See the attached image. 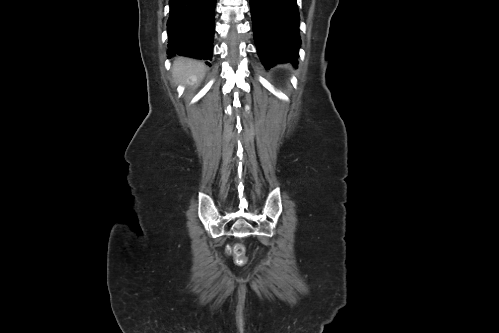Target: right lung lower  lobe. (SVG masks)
<instances>
[{
	"label": "right lung lower lobe",
	"instance_id": "obj_1",
	"mask_svg": "<svg viewBox=\"0 0 499 333\" xmlns=\"http://www.w3.org/2000/svg\"><path fill=\"white\" fill-rule=\"evenodd\" d=\"M169 4L168 57L211 60L216 0H170Z\"/></svg>",
	"mask_w": 499,
	"mask_h": 333
}]
</instances>
